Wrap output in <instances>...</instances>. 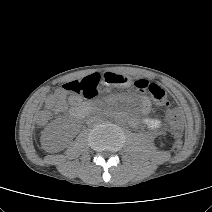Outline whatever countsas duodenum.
Wrapping results in <instances>:
<instances>
[{"instance_id":"obj_1","label":"duodenum","mask_w":212,"mask_h":212,"mask_svg":"<svg viewBox=\"0 0 212 212\" xmlns=\"http://www.w3.org/2000/svg\"><path fill=\"white\" fill-rule=\"evenodd\" d=\"M94 108L91 103H79L72 108V117L76 120L82 119L88 112Z\"/></svg>"}]
</instances>
